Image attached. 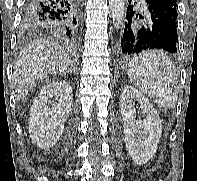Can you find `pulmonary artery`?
Returning <instances> with one entry per match:
<instances>
[{
	"instance_id": "pulmonary-artery-1",
	"label": "pulmonary artery",
	"mask_w": 197,
	"mask_h": 181,
	"mask_svg": "<svg viewBox=\"0 0 197 181\" xmlns=\"http://www.w3.org/2000/svg\"><path fill=\"white\" fill-rule=\"evenodd\" d=\"M142 8H146V4L144 2H142Z\"/></svg>"
}]
</instances>
